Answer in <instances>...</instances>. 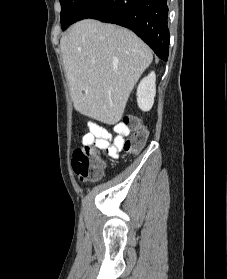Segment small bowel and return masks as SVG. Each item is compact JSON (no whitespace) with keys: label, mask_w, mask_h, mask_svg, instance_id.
Returning <instances> with one entry per match:
<instances>
[{"label":"small bowel","mask_w":227,"mask_h":279,"mask_svg":"<svg viewBox=\"0 0 227 279\" xmlns=\"http://www.w3.org/2000/svg\"><path fill=\"white\" fill-rule=\"evenodd\" d=\"M89 131L96 148L103 150L113 160L119 159V154L124 151L125 137L129 134L125 125L117 124L114 133H111L98 122L92 121L89 123Z\"/></svg>","instance_id":"1"}]
</instances>
